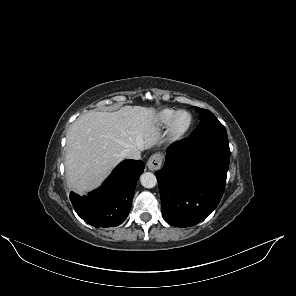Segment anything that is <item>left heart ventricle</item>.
Listing matches in <instances>:
<instances>
[{"label":"left heart ventricle","instance_id":"1","mask_svg":"<svg viewBox=\"0 0 296 296\" xmlns=\"http://www.w3.org/2000/svg\"><path fill=\"white\" fill-rule=\"evenodd\" d=\"M187 121H188V117L185 114L181 115L178 120L179 125H181V126L185 125L187 123Z\"/></svg>","mask_w":296,"mask_h":296}]
</instances>
